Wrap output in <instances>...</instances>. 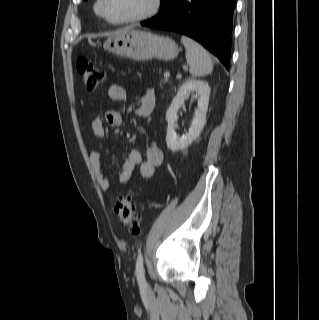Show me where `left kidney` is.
Returning a JSON list of instances; mask_svg holds the SVG:
<instances>
[{
	"instance_id": "5707ae66",
	"label": "left kidney",
	"mask_w": 319,
	"mask_h": 320,
	"mask_svg": "<svg viewBox=\"0 0 319 320\" xmlns=\"http://www.w3.org/2000/svg\"><path fill=\"white\" fill-rule=\"evenodd\" d=\"M190 92H196L198 97V107L192 120L189 132L181 137L175 131V122L177 120V111L184 104L186 96ZM210 87L207 82L202 80L190 79L183 83L173 99L166 112L167 120V147L176 152L188 147L197 139L206 123V113L208 110Z\"/></svg>"
}]
</instances>
